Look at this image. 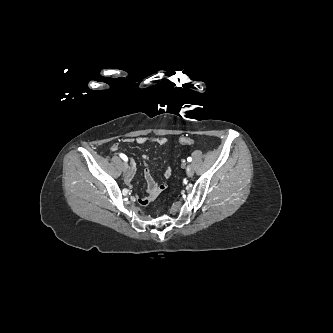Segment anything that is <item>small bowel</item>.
Wrapping results in <instances>:
<instances>
[{
    "mask_svg": "<svg viewBox=\"0 0 333 333\" xmlns=\"http://www.w3.org/2000/svg\"><path fill=\"white\" fill-rule=\"evenodd\" d=\"M129 142H136L138 145H145L147 143H151L154 142L160 146H164L167 144L168 140L163 137V136H158L155 138H149V137H145V136H140L137 137L135 139H128ZM118 144H113L111 146V150L112 151H116L118 149ZM143 160L146 164V169L144 172L145 175V180L147 183V190H148V195L147 196H142L138 198V202L139 204H141L142 206H147L149 205L153 200L156 199V197L165 189V185L164 184H158L156 183V181L154 180V178L151 175L150 169L148 167V160L147 157H143ZM134 173H135V164L134 161H131V166L130 169L128 171V173L126 174V182L127 183H131L133 177H134ZM166 178H169L171 176V169L167 168L165 170L164 173Z\"/></svg>",
    "mask_w": 333,
    "mask_h": 333,
    "instance_id": "obj_1",
    "label": "small bowel"
}]
</instances>
